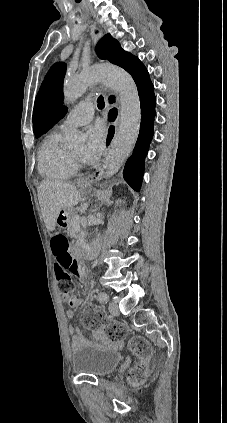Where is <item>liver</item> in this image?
Listing matches in <instances>:
<instances>
[{"label":"liver","mask_w":227,"mask_h":423,"mask_svg":"<svg viewBox=\"0 0 227 423\" xmlns=\"http://www.w3.org/2000/svg\"><path fill=\"white\" fill-rule=\"evenodd\" d=\"M37 192L43 219L49 231L55 229L56 219L62 208H73L81 200L76 186L65 182L43 180Z\"/></svg>","instance_id":"obj_1"}]
</instances>
